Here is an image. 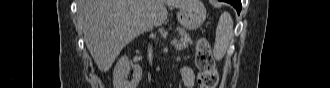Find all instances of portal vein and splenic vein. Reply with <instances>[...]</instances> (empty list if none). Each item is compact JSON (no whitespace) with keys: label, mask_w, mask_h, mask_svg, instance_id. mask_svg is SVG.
<instances>
[{"label":"portal vein and splenic vein","mask_w":330,"mask_h":88,"mask_svg":"<svg viewBox=\"0 0 330 88\" xmlns=\"http://www.w3.org/2000/svg\"><path fill=\"white\" fill-rule=\"evenodd\" d=\"M171 45H177V40L176 39L172 40Z\"/></svg>","instance_id":"1"}]
</instances>
